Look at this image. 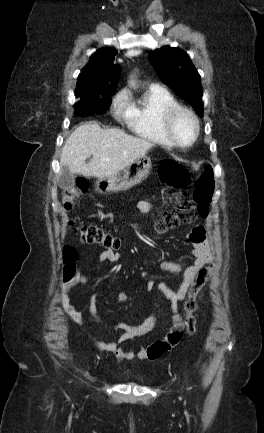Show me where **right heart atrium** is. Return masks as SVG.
I'll return each mask as SVG.
<instances>
[{
	"mask_svg": "<svg viewBox=\"0 0 264 433\" xmlns=\"http://www.w3.org/2000/svg\"><path fill=\"white\" fill-rule=\"evenodd\" d=\"M129 102L128 95L124 90L116 94L112 101V112L116 118L126 117L129 111Z\"/></svg>",
	"mask_w": 264,
	"mask_h": 433,
	"instance_id": "right-heart-atrium-1",
	"label": "right heart atrium"
}]
</instances>
